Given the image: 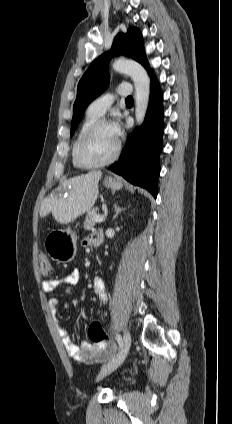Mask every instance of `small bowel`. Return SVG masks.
Returning a JSON list of instances; mask_svg holds the SVG:
<instances>
[{
  "instance_id": "small-bowel-1",
  "label": "small bowel",
  "mask_w": 232,
  "mask_h": 424,
  "mask_svg": "<svg viewBox=\"0 0 232 424\" xmlns=\"http://www.w3.org/2000/svg\"><path fill=\"white\" fill-rule=\"evenodd\" d=\"M100 231L86 237L82 240V245L95 246L96 239ZM80 279V272L78 270H72L66 275L56 280H47L43 282V290L49 294L54 292L58 287L64 286L66 293H73V287L77 285ZM92 289L95 295H97L102 301L107 300L106 290L104 282L101 278L96 277L92 283ZM49 307L51 313L56 315L58 308V301L56 298L49 299ZM58 332L62 338L64 347L67 353L75 360L82 363H97L108 361L115 352V345L111 342L104 344H92L88 341H82L80 344H76L72 341L68 331L63 327H58Z\"/></svg>"
}]
</instances>
